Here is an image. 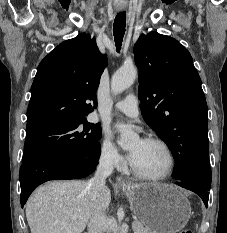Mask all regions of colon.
<instances>
[{
    "mask_svg": "<svg viewBox=\"0 0 227 233\" xmlns=\"http://www.w3.org/2000/svg\"><path fill=\"white\" fill-rule=\"evenodd\" d=\"M179 233H193L191 229H183Z\"/></svg>",
    "mask_w": 227,
    "mask_h": 233,
    "instance_id": "5ec220e1",
    "label": "colon"
}]
</instances>
